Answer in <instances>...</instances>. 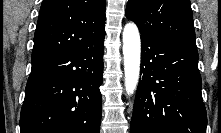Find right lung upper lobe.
I'll use <instances>...</instances> for the list:
<instances>
[{
    "instance_id": "1",
    "label": "right lung upper lobe",
    "mask_w": 221,
    "mask_h": 133,
    "mask_svg": "<svg viewBox=\"0 0 221 133\" xmlns=\"http://www.w3.org/2000/svg\"><path fill=\"white\" fill-rule=\"evenodd\" d=\"M105 0H44L32 57L76 49L105 32Z\"/></svg>"
}]
</instances>
